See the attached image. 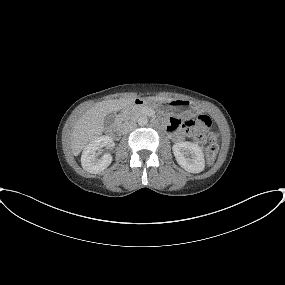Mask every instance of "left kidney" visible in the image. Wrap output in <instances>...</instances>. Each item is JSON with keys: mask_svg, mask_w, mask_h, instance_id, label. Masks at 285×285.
<instances>
[{"mask_svg": "<svg viewBox=\"0 0 285 285\" xmlns=\"http://www.w3.org/2000/svg\"><path fill=\"white\" fill-rule=\"evenodd\" d=\"M177 163L186 171L200 173L205 168L203 152L195 143L178 142L172 147Z\"/></svg>", "mask_w": 285, "mask_h": 285, "instance_id": "5707ae66", "label": "left kidney"}]
</instances>
